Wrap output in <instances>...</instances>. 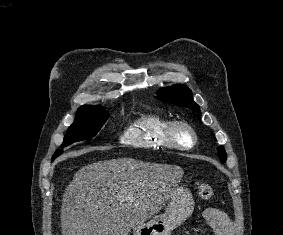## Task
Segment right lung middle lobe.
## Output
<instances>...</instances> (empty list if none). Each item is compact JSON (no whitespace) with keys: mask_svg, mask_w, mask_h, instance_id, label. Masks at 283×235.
Here are the masks:
<instances>
[{"mask_svg":"<svg viewBox=\"0 0 283 235\" xmlns=\"http://www.w3.org/2000/svg\"><path fill=\"white\" fill-rule=\"evenodd\" d=\"M109 113L102 107H80L77 110L75 121L70 125L65 135L63 146H68L74 142L89 140L95 136L104 123L107 121ZM62 151L54 153L52 160L58 157Z\"/></svg>","mask_w":283,"mask_h":235,"instance_id":"right-lung-middle-lobe-1","label":"right lung middle lobe"}]
</instances>
